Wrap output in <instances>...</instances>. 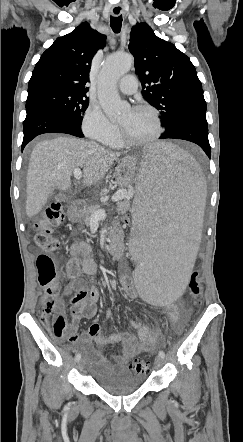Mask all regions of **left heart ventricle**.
I'll return each instance as SVG.
<instances>
[{
    "instance_id": "1",
    "label": "left heart ventricle",
    "mask_w": 243,
    "mask_h": 442,
    "mask_svg": "<svg viewBox=\"0 0 243 442\" xmlns=\"http://www.w3.org/2000/svg\"><path fill=\"white\" fill-rule=\"evenodd\" d=\"M125 134L132 140H143L156 132V121L149 111H127L119 122Z\"/></svg>"
}]
</instances>
